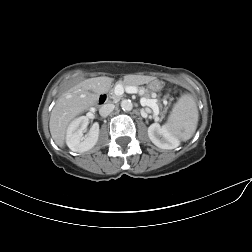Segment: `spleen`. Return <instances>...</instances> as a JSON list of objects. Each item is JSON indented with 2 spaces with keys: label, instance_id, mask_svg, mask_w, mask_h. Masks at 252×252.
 Masks as SVG:
<instances>
[{
  "label": "spleen",
  "instance_id": "1",
  "mask_svg": "<svg viewBox=\"0 0 252 252\" xmlns=\"http://www.w3.org/2000/svg\"><path fill=\"white\" fill-rule=\"evenodd\" d=\"M198 124V109L190 94L182 95L173 107L167 128L183 141L189 140L195 133Z\"/></svg>",
  "mask_w": 252,
  "mask_h": 252
}]
</instances>
